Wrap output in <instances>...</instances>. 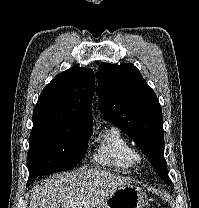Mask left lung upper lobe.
Returning <instances> with one entry per match:
<instances>
[{
  "mask_svg": "<svg viewBox=\"0 0 199 208\" xmlns=\"http://www.w3.org/2000/svg\"><path fill=\"white\" fill-rule=\"evenodd\" d=\"M98 98L105 119L124 131L148 157L160 178L171 185L163 156L162 109L139 70L132 64H101Z\"/></svg>",
  "mask_w": 199,
  "mask_h": 208,
  "instance_id": "obj_1",
  "label": "left lung upper lobe"
}]
</instances>
